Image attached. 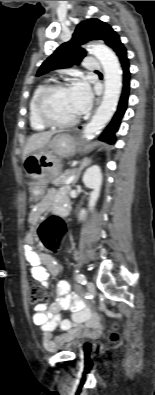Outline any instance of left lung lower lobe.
<instances>
[{
    "label": "left lung lower lobe",
    "mask_w": 155,
    "mask_h": 395,
    "mask_svg": "<svg viewBox=\"0 0 155 395\" xmlns=\"http://www.w3.org/2000/svg\"><path fill=\"white\" fill-rule=\"evenodd\" d=\"M119 61L121 64L122 68V93L121 97L119 100L118 108L113 116L112 121L110 124L107 126V128L104 130L102 135L100 136V140L108 142V143H114L115 142V132L118 130L120 121L127 109V104H128V98H129V92H130V79H131V74L129 71V59L127 58V53L119 57Z\"/></svg>",
    "instance_id": "1"
}]
</instances>
